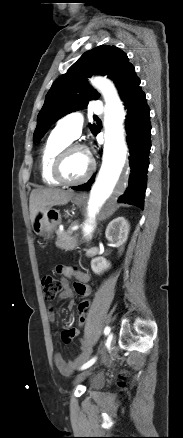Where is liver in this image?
Here are the masks:
<instances>
[{"instance_id":"liver-1","label":"liver","mask_w":183,"mask_h":438,"mask_svg":"<svg viewBox=\"0 0 183 438\" xmlns=\"http://www.w3.org/2000/svg\"><path fill=\"white\" fill-rule=\"evenodd\" d=\"M74 196L72 190L35 189L30 194V219L33 223L39 212L47 207L66 205Z\"/></svg>"}]
</instances>
